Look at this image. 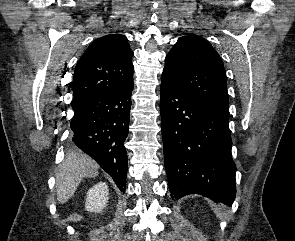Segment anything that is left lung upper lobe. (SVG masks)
<instances>
[{"label":"left lung upper lobe","instance_id":"left-lung-upper-lobe-1","mask_svg":"<svg viewBox=\"0 0 295 241\" xmlns=\"http://www.w3.org/2000/svg\"><path fill=\"white\" fill-rule=\"evenodd\" d=\"M194 99L229 115L227 78L222 60L201 36H183L166 56L162 73Z\"/></svg>","mask_w":295,"mask_h":241}]
</instances>
